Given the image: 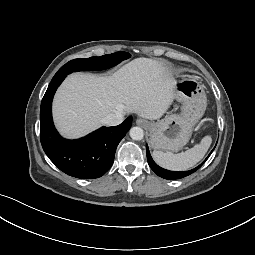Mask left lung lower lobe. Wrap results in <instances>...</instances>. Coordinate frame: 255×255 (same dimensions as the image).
Listing matches in <instances>:
<instances>
[{
  "instance_id": "0a47b994",
  "label": "left lung lower lobe",
  "mask_w": 255,
  "mask_h": 255,
  "mask_svg": "<svg viewBox=\"0 0 255 255\" xmlns=\"http://www.w3.org/2000/svg\"><path fill=\"white\" fill-rule=\"evenodd\" d=\"M146 149H147V160H148V164L151 167V169L160 177L164 178V179H168V180H172V179H180L183 177H186L192 173H194L195 171H197L203 163H201L199 166H197L196 168L189 170V171H182V172H177V171H169V170H165L161 167H159L152 159L148 146L146 145ZM212 153V152H211ZM210 153V154H211ZM209 154V155H210Z\"/></svg>"
}]
</instances>
